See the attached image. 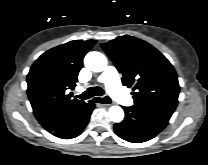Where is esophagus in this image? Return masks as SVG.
<instances>
[{"mask_svg":"<svg viewBox=\"0 0 208 165\" xmlns=\"http://www.w3.org/2000/svg\"><path fill=\"white\" fill-rule=\"evenodd\" d=\"M94 102L95 103H99L101 105H104V106H110L112 103L110 102V99L109 101L106 100L105 98H102V97H94Z\"/></svg>","mask_w":208,"mask_h":165,"instance_id":"34e87169","label":"esophagus"}]
</instances>
